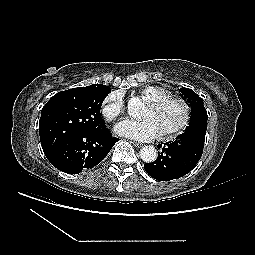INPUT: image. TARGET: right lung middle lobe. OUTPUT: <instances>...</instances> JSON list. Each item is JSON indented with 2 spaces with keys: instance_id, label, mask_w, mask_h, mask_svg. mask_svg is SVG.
Wrapping results in <instances>:
<instances>
[{
  "instance_id": "1",
  "label": "right lung middle lobe",
  "mask_w": 255,
  "mask_h": 255,
  "mask_svg": "<svg viewBox=\"0 0 255 255\" xmlns=\"http://www.w3.org/2000/svg\"><path fill=\"white\" fill-rule=\"evenodd\" d=\"M109 87H78L58 92L42 109L39 122L41 145L46 157L53 155L68 138L104 129L101 105Z\"/></svg>"
}]
</instances>
